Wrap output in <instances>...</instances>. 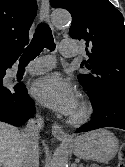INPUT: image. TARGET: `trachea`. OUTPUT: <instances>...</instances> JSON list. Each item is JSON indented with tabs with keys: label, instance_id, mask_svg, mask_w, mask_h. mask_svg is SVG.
<instances>
[{
	"label": "trachea",
	"instance_id": "1",
	"mask_svg": "<svg viewBox=\"0 0 125 167\" xmlns=\"http://www.w3.org/2000/svg\"><path fill=\"white\" fill-rule=\"evenodd\" d=\"M44 48L54 51L55 43L49 26L45 23H41L37 26L30 45L25 49L24 53L20 57V65H27L31 60H34Z\"/></svg>",
	"mask_w": 125,
	"mask_h": 167
}]
</instances>
